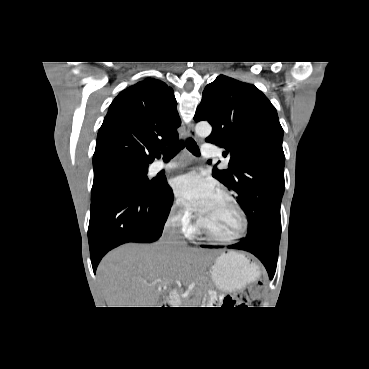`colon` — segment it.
<instances>
[{"label": "colon", "mask_w": 369, "mask_h": 369, "mask_svg": "<svg viewBox=\"0 0 369 369\" xmlns=\"http://www.w3.org/2000/svg\"><path fill=\"white\" fill-rule=\"evenodd\" d=\"M263 284L257 283L242 290L236 295H211L212 303L219 302L222 307L258 306L263 298Z\"/></svg>", "instance_id": "colon-1"}]
</instances>
